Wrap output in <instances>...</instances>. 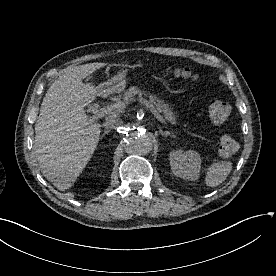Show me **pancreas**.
Listing matches in <instances>:
<instances>
[{"mask_svg":"<svg viewBox=\"0 0 276 276\" xmlns=\"http://www.w3.org/2000/svg\"><path fill=\"white\" fill-rule=\"evenodd\" d=\"M143 96L149 98V102L152 103L157 111L163 113L167 121L171 122V124H176V117L170 106L156 95L148 94L146 91L140 90L137 87H130L127 91L124 92L123 101L125 103H132L138 99H142Z\"/></svg>","mask_w":276,"mask_h":276,"instance_id":"obj_1","label":"pancreas"}]
</instances>
